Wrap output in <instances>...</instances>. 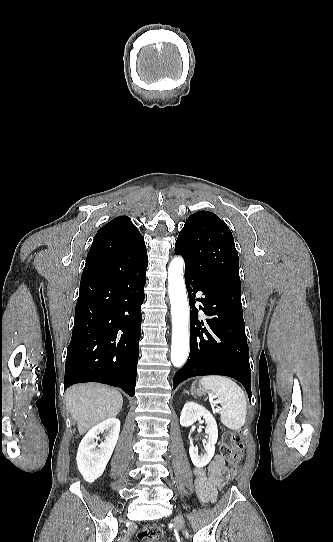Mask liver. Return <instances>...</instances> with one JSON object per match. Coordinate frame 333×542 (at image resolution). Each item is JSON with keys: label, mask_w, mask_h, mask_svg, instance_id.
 I'll list each match as a JSON object with an SVG mask.
<instances>
[{"label": "liver", "mask_w": 333, "mask_h": 542, "mask_svg": "<svg viewBox=\"0 0 333 542\" xmlns=\"http://www.w3.org/2000/svg\"><path fill=\"white\" fill-rule=\"evenodd\" d=\"M65 402L72 418L77 420L79 434L108 418H116L123 406L120 392L101 384H78L66 392Z\"/></svg>", "instance_id": "1"}]
</instances>
